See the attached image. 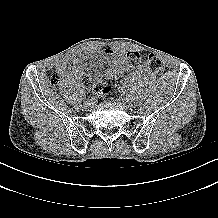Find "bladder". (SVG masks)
<instances>
[{"label": "bladder", "mask_w": 218, "mask_h": 218, "mask_svg": "<svg viewBox=\"0 0 218 218\" xmlns=\"http://www.w3.org/2000/svg\"><path fill=\"white\" fill-rule=\"evenodd\" d=\"M88 68L93 75L103 73L108 66V61L105 57H92L87 62Z\"/></svg>", "instance_id": "31cf9c89"}]
</instances>
